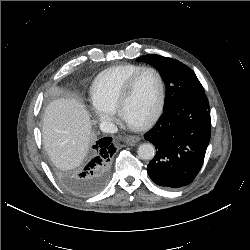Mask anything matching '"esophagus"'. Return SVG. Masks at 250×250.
<instances>
[{"label":"esophagus","instance_id":"obj_1","mask_svg":"<svg viewBox=\"0 0 250 250\" xmlns=\"http://www.w3.org/2000/svg\"><path fill=\"white\" fill-rule=\"evenodd\" d=\"M123 140L129 145H134L135 143L140 141V137H138V136H127Z\"/></svg>","mask_w":250,"mask_h":250}]
</instances>
